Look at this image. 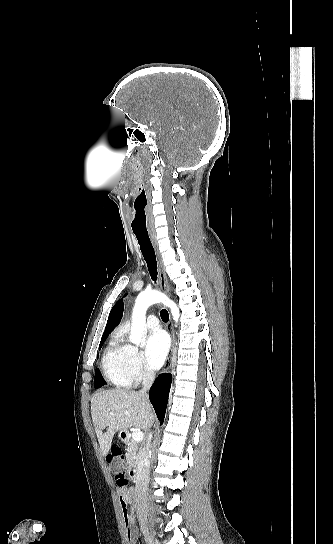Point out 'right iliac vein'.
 <instances>
[{
    "label": "right iliac vein",
    "mask_w": 333,
    "mask_h": 544,
    "mask_svg": "<svg viewBox=\"0 0 333 544\" xmlns=\"http://www.w3.org/2000/svg\"><path fill=\"white\" fill-rule=\"evenodd\" d=\"M145 539L147 541V544H159V542L154 538V536L149 532L148 528L143 525L142 527Z\"/></svg>",
    "instance_id": "63e3f726"
}]
</instances>
